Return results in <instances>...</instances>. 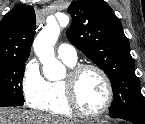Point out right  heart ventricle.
<instances>
[{"mask_svg":"<svg viewBox=\"0 0 145 124\" xmlns=\"http://www.w3.org/2000/svg\"><path fill=\"white\" fill-rule=\"evenodd\" d=\"M63 62L69 67H73L76 64V62L66 60H63ZM37 108L56 117H68L73 115V110L69 106L66 98L63 80L46 81L44 98L38 104Z\"/></svg>","mask_w":145,"mask_h":124,"instance_id":"right-heart-ventricle-1","label":"right heart ventricle"}]
</instances>
